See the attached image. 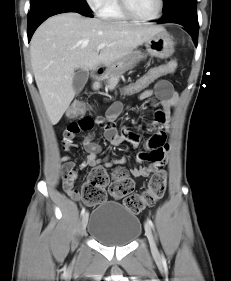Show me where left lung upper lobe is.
Returning a JSON list of instances; mask_svg holds the SVG:
<instances>
[{"instance_id":"obj_1","label":"left lung upper lobe","mask_w":231,"mask_h":281,"mask_svg":"<svg viewBox=\"0 0 231 281\" xmlns=\"http://www.w3.org/2000/svg\"><path fill=\"white\" fill-rule=\"evenodd\" d=\"M184 1V0H163V9L164 11L170 7H172L175 3Z\"/></svg>"}]
</instances>
